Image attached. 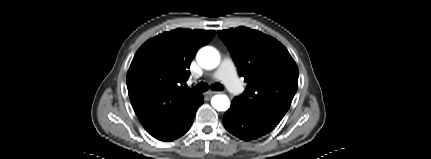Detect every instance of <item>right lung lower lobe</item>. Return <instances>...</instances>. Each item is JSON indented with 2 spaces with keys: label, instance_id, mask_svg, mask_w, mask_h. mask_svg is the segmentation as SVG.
Listing matches in <instances>:
<instances>
[{
  "label": "right lung lower lobe",
  "instance_id": "1",
  "mask_svg": "<svg viewBox=\"0 0 431 159\" xmlns=\"http://www.w3.org/2000/svg\"><path fill=\"white\" fill-rule=\"evenodd\" d=\"M204 102L203 95H196L188 101L174 119L159 133L153 135L158 140L172 141L181 137L191 127L197 109Z\"/></svg>",
  "mask_w": 431,
  "mask_h": 159
}]
</instances>
